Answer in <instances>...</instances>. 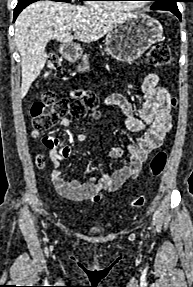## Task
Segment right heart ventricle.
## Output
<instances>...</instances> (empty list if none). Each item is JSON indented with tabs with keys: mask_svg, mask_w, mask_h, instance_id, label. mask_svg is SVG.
<instances>
[{
	"mask_svg": "<svg viewBox=\"0 0 193 287\" xmlns=\"http://www.w3.org/2000/svg\"><path fill=\"white\" fill-rule=\"evenodd\" d=\"M98 8L111 9V10H124L119 4L114 3H101L97 5Z\"/></svg>",
	"mask_w": 193,
	"mask_h": 287,
	"instance_id": "obj_1",
	"label": "right heart ventricle"
}]
</instances>
